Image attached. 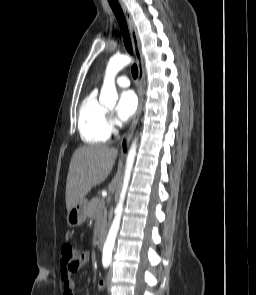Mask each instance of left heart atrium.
Listing matches in <instances>:
<instances>
[{"mask_svg": "<svg viewBox=\"0 0 256 295\" xmlns=\"http://www.w3.org/2000/svg\"><path fill=\"white\" fill-rule=\"evenodd\" d=\"M137 108V98L133 91H124L121 93L118 106L117 118L120 122H127L135 113Z\"/></svg>", "mask_w": 256, "mask_h": 295, "instance_id": "left-heart-atrium-1", "label": "left heart atrium"}]
</instances>
